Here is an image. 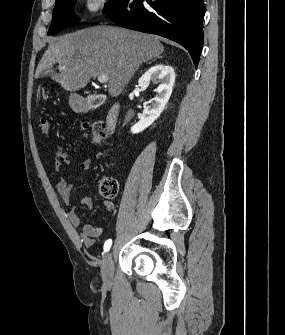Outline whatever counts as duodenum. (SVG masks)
Listing matches in <instances>:
<instances>
[{
    "mask_svg": "<svg viewBox=\"0 0 285 335\" xmlns=\"http://www.w3.org/2000/svg\"><path fill=\"white\" fill-rule=\"evenodd\" d=\"M103 102L102 96H95L83 103L84 109H92L98 107ZM120 113V105L114 103L110 108L106 117V127L110 132H113L117 126L118 118Z\"/></svg>",
    "mask_w": 285,
    "mask_h": 335,
    "instance_id": "duodenum-1",
    "label": "duodenum"
}]
</instances>
